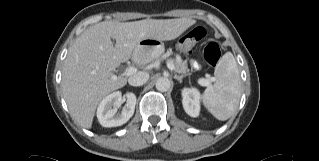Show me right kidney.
<instances>
[{"label":"right kidney","instance_id":"obj_1","mask_svg":"<svg viewBox=\"0 0 319 161\" xmlns=\"http://www.w3.org/2000/svg\"><path fill=\"white\" fill-rule=\"evenodd\" d=\"M126 104L121 113H117L118 107L123 101ZM136 105V96L128 92L125 98L119 91L106 96L99 104L97 109V118L103 127H117L125 124L134 114Z\"/></svg>","mask_w":319,"mask_h":161}]
</instances>
